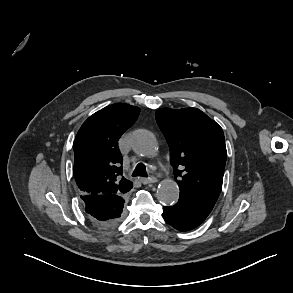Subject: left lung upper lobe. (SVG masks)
Returning <instances> with one entry per match:
<instances>
[{
	"instance_id": "5c2ea615",
	"label": "left lung upper lobe",
	"mask_w": 293,
	"mask_h": 293,
	"mask_svg": "<svg viewBox=\"0 0 293 293\" xmlns=\"http://www.w3.org/2000/svg\"><path fill=\"white\" fill-rule=\"evenodd\" d=\"M180 199L211 212L221 192L227 151L222 128L201 110L159 109Z\"/></svg>"
}]
</instances>
